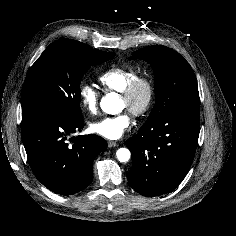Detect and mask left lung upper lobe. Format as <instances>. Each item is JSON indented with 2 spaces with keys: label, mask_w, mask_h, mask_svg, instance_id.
<instances>
[{
  "label": "left lung upper lobe",
  "mask_w": 236,
  "mask_h": 236,
  "mask_svg": "<svg viewBox=\"0 0 236 236\" xmlns=\"http://www.w3.org/2000/svg\"><path fill=\"white\" fill-rule=\"evenodd\" d=\"M131 59L148 61L154 70L156 104L144 125L153 124L174 112L200 111L195 74L180 54L156 45L135 51Z\"/></svg>",
  "instance_id": "5c2ea615"
}]
</instances>
